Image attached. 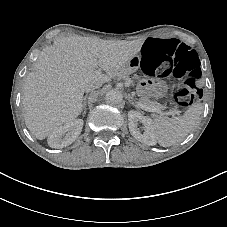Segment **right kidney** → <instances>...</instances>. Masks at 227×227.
Wrapping results in <instances>:
<instances>
[{"label": "right kidney", "mask_w": 227, "mask_h": 227, "mask_svg": "<svg viewBox=\"0 0 227 227\" xmlns=\"http://www.w3.org/2000/svg\"><path fill=\"white\" fill-rule=\"evenodd\" d=\"M83 128L82 119H74L63 126L56 127L48 135L47 143L51 148H63L72 144Z\"/></svg>", "instance_id": "obj_1"}]
</instances>
